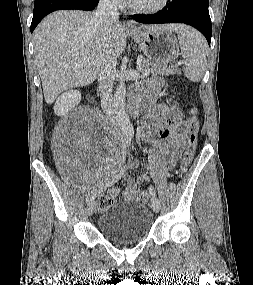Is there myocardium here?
I'll use <instances>...</instances> for the list:
<instances>
[{"instance_id":"obj_1","label":"myocardium","mask_w":253,"mask_h":285,"mask_svg":"<svg viewBox=\"0 0 253 285\" xmlns=\"http://www.w3.org/2000/svg\"><path fill=\"white\" fill-rule=\"evenodd\" d=\"M169 4V0H161L157 5L151 7H138L128 2V7L131 11L139 14H154L162 11Z\"/></svg>"}]
</instances>
